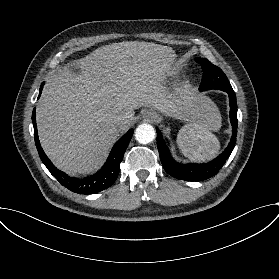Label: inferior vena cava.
Segmentation results:
<instances>
[{"label": "inferior vena cava", "mask_w": 279, "mask_h": 279, "mask_svg": "<svg viewBox=\"0 0 279 279\" xmlns=\"http://www.w3.org/2000/svg\"><path fill=\"white\" fill-rule=\"evenodd\" d=\"M113 121L116 122V125H117L118 129L122 126H125L129 122V120L124 116L114 118Z\"/></svg>", "instance_id": "602c4592"}]
</instances>
